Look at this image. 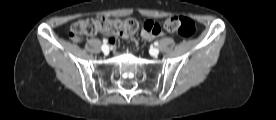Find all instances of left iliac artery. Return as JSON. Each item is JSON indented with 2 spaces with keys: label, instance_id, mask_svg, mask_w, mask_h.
Masks as SVG:
<instances>
[{
  "label": "left iliac artery",
  "instance_id": "1",
  "mask_svg": "<svg viewBox=\"0 0 276 120\" xmlns=\"http://www.w3.org/2000/svg\"><path fill=\"white\" fill-rule=\"evenodd\" d=\"M154 45H155V46H158V45H159V43H158L157 41H155V42H154Z\"/></svg>",
  "mask_w": 276,
  "mask_h": 120
}]
</instances>
